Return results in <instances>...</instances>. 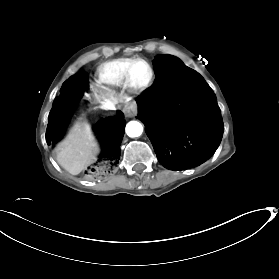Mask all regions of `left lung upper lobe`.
I'll return each instance as SVG.
<instances>
[{
  "label": "left lung upper lobe",
  "mask_w": 279,
  "mask_h": 279,
  "mask_svg": "<svg viewBox=\"0 0 279 279\" xmlns=\"http://www.w3.org/2000/svg\"><path fill=\"white\" fill-rule=\"evenodd\" d=\"M175 61L178 66H181L182 68H188L184 65V63L177 57L171 56V55H158L155 57V60L153 61L154 67L161 65L164 61ZM175 80H166V79H155L154 84L147 89V93L152 92L153 95L161 94L169 89H171L174 86Z\"/></svg>",
  "instance_id": "obj_1"
}]
</instances>
